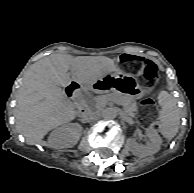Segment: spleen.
Returning a JSON list of instances; mask_svg holds the SVG:
<instances>
[{
  "mask_svg": "<svg viewBox=\"0 0 194 193\" xmlns=\"http://www.w3.org/2000/svg\"><path fill=\"white\" fill-rule=\"evenodd\" d=\"M158 101L161 105L159 130L166 139L171 140L178 133L180 125L176 100L166 91H162L158 96Z\"/></svg>",
  "mask_w": 194,
  "mask_h": 193,
  "instance_id": "1",
  "label": "spleen"
}]
</instances>
